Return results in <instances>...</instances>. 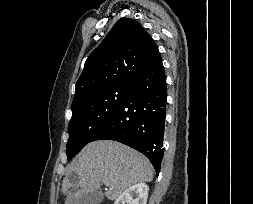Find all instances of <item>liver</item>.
Masks as SVG:
<instances>
[{"label":"liver","instance_id":"obj_1","mask_svg":"<svg viewBox=\"0 0 253 204\" xmlns=\"http://www.w3.org/2000/svg\"><path fill=\"white\" fill-rule=\"evenodd\" d=\"M152 179L153 167L144 155L121 143L101 140L87 144L71 162L62 191L67 194L65 204H79L82 195L104 183L105 196L115 200L131 186Z\"/></svg>","mask_w":253,"mask_h":204}]
</instances>
